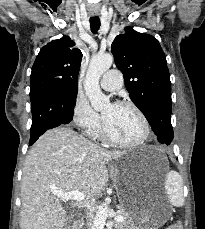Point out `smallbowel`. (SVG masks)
<instances>
[{"mask_svg": "<svg viewBox=\"0 0 205 229\" xmlns=\"http://www.w3.org/2000/svg\"><path fill=\"white\" fill-rule=\"evenodd\" d=\"M165 229H181V225L179 223H174Z\"/></svg>", "mask_w": 205, "mask_h": 229, "instance_id": "small-bowel-1", "label": "small bowel"}]
</instances>
